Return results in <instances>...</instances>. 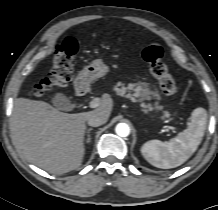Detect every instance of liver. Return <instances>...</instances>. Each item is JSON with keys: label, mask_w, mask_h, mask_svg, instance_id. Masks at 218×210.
Instances as JSON below:
<instances>
[{"label": "liver", "mask_w": 218, "mask_h": 210, "mask_svg": "<svg viewBox=\"0 0 218 210\" xmlns=\"http://www.w3.org/2000/svg\"><path fill=\"white\" fill-rule=\"evenodd\" d=\"M113 101L102 97L90 112L68 114L46 102L17 98L12 110L14 138L26 158L50 173L63 174L78 168L85 154L86 121L92 114L108 120Z\"/></svg>", "instance_id": "1"}]
</instances>
